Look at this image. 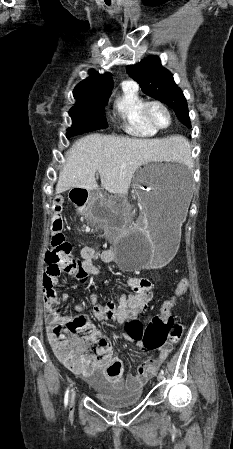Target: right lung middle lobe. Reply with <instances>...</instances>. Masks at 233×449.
<instances>
[{
    "label": "right lung middle lobe",
    "instance_id": "dd1d6c3e",
    "mask_svg": "<svg viewBox=\"0 0 233 449\" xmlns=\"http://www.w3.org/2000/svg\"><path fill=\"white\" fill-rule=\"evenodd\" d=\"M111 94L91 96L76 99L77 104L70 109L72 127L67 130L66 136L75 135L106 128L107 120L104 116V108Z\"/></svg>",
    "mask_w": 233,
    "mask_h": 449
}]
</instances>
